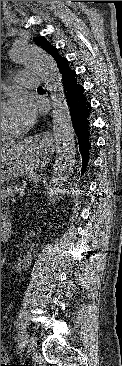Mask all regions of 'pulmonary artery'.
Returning a JSON list of instances; mask_svg holds the SVG:
<instances>
[{
    "instance_id": "pulmonary-artery-1",
    "label": "pulmonary artery",
    "mask_w": 122,
    "mask_h": 366,
    "mask_svg": "<svg viewBox=\"0 0 122 366\" xmlns=\"http://www.w3.org/2000/svg\"><path fill=\"white\" fill-rule=\"evenodd\" d=\"M15 81L20 85L30 89H36L42 86V78L40 74L31 69H24L16 72Z\"/></svg>"
}]
</instances>
